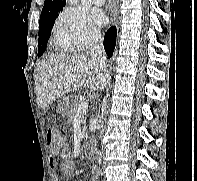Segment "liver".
Listing matches in <instances>:
<instances>
[{"label":"liver","mask_w":197,"mask_h":181,"mask_svg":"<svg viewBox=\"0 0 197 181\" xmlns=\"http://www.w3.org/2000/svg\"><path fill=\"white\" fill-rule=\"evenodd\" d=\"M34 81L37 102L47 110L55 99L83 85L91 91L103 89L107 73L83 53L53 54L37 64Z\"/></svg>","instance_id":"obj_1"}]
</instances>
